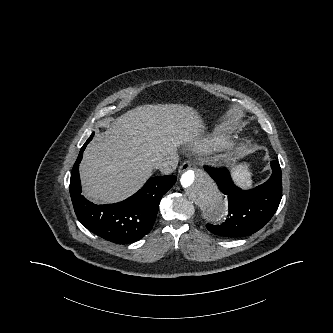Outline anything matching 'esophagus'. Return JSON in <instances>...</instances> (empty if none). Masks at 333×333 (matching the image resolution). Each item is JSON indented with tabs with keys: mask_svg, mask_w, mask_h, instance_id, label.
<instances>
[{
	"mask_svg": "<svg viewBox=\"0 0 333 333\" xmlns=\"http://www.w3.org/2000/svg\"><path fill=\"white\" fill-rule=\"evenodd\" d=\"M192 162L190 161H186L184 162L181 166H180V169H179V173H183L185 172L186 170L190 169L192 167Z\"/></svg>",
	"mask_w": 333,
	"mask_h": 333,
	"instance_id": "1",
	"label": "esophagus"
}]
</instances>
